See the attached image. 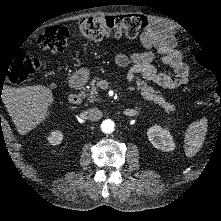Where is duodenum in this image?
Instances as JSON below:
<instances>
[{
  "label": "duodenum",
  "instance_id": "1",
  "mask_svg": "<svg viewBox=\"0 0 221 221\" xmlns=\"http://www.w3.org/2000/svg\"><path fill=\"white\" fill-rule=\"evenodd\" d=\"M87 83V74L84 71L75 72L70 78V84L73 92L69 94L68 101L71 104H78L85 98V87Z\"/></svg>",
  "mask_w": 221,
  "mask_h": 221
}]
</instances>
